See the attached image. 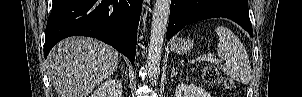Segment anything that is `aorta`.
<instances>
[{
  "mask_svg": "<svg viewBox=\"0 0 302 97\" xmlns=\"http://www.w3.org/2000/svg\"><path fill=\"white\" fill-rule=\"evenodd\" d=\"M170 4L171 0H155L154 3L147 58L149 77L154 82L160 70L162 47L170 15Z\"/></svg>",
  "mask_w": 302,
  "mask_h": 97,
  "instance_id": "obj_1",
  "label": "aorta"
}]
</instances>
